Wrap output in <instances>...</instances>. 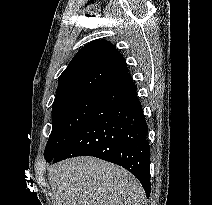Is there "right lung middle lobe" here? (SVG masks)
Here are the masks:
<instances>
[{"label": "right lung middle lobe", "instance_id": "dd1d6c3e", "mask_svg": "<svg viewBox=\"0 0 212 205\" xmlns=\"http://www.w3.org/2000/svg\"><path fill=\"white\" fill-rule=\"evenodd\" d=\"M102 94H90L63 102L52 110V132L44 156L55 157L92 114Z\"/></svg>", "mask_w": 212, "mask_h": 205}]
</instances>
